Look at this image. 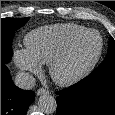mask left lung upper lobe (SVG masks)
Returning a JSON list of instances; mask_svg holds the SVG:
<instances>
[{
  "label": "left lung upper lobe",
  "instance_id": "left-lung-upper-lobe-1",
  "mask_svg": "<svg viewBox=\"0 0 115 115\" xmlns=\"http://www.w3.org/2000/svg\"><path fill=\"white\" fill-rule=\"evenodd\" d=\"M112 70H115V40L111 37L107 56L105 60L93 71V73L99 74Z\"/></svg>",
  "mask_w": 115,
  "mask_h": 115
}]
</instances>
